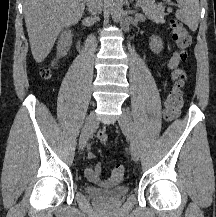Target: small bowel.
<instances>
[{
    "label": "small bowel",
    "mask_w": 216,
    "mask_h": 217,
    "mask_svg": "<svg viewBox=\"0 0 216 217\" xmlns=\"http://www.w3.org/2000/svg\"><path fill=\"white\" fill-rule=\"evenodd\" d=\"M180 63V57L177 53H174L167 62V67L171 72L172 79L177 78L181 72L178 68ZM89 164L85 169V177L96 185L102 187H109L116 184V181L113 178L103 179L101 177V166L98 163L94 162L95 155L91 152L87 154Z\"/></svg>",
    "instance_id": "c3829d8e"
}]
</instances>
